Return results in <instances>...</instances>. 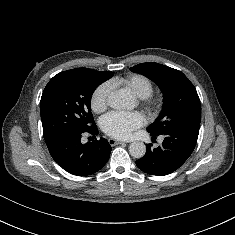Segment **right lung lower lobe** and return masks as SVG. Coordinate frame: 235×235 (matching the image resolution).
Wrapping results in <instances>:
<instances>
[{
	"label": "right lung lower lobe",
	"instance_id": "obj_1",
	"mask_svg": "<svg viewBox=\"0 0 235 235\" xmlns=\"http://www.w3.org/2000/svg\"><path fill=\"white\" fill-rule=\"evenodd\" d=\"M88 133L98 134L94 125ZM84 132L70 131L62 134L52 143L48 150L53 159L66 171L77 176H86L99 171L109 160L111 146L104 138L92 143L82 144L81 135Z\"/></svg>",
	"mask_w": 235,
	"mask_h": 235
}]
</instances>
